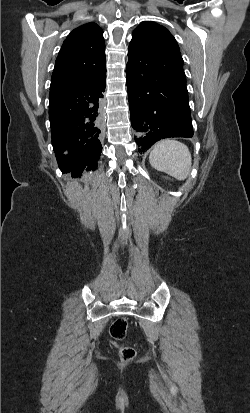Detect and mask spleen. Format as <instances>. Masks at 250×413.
Returning <instances> with one entry per match:
<instances>
[{"instance_id": "1", "label": "spleen", "mask_w": 250, "mask_h": 413, "mask_svg": "<svg viewBox=\"0 0 250 413\" xmlns=\"http://www.w3.org/2000/svg\"><path fill=\"white\" fill-rule=\"evenodd\" d=\"M153 168L170 176L185 180L190 173L192 157L188 147L176 140L166 139L158 142L149 155Z\"/></svg>"}]
</instances>
